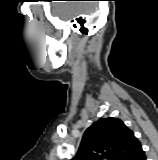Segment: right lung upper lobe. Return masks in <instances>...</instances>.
<instances>
[{
    "instance_id": "obj_1",
    "label": "right lung upper lobe",
    "mask_w": 158,
    "mask_h": 160,
    "mask_svg": "<svg viewBox=\"0 0 158 160\" xmlns=\"http://www.w3.org/2000/svg\"><path fill=\"white\" fill-rule=\"evenodd\" d=\"M141 143L118 118H102L84 132L72 160H129Z\"/></svg>"
}]
</instances>
